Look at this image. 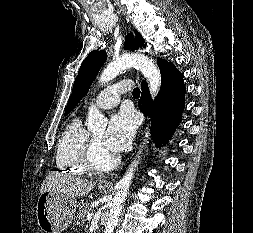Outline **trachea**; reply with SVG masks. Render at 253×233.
Listing matches in <instances>:
<instances>
[{"mask_svg":"<svg viewBox=\"0 0 253 233\" xmlns=\"http://www.w3.org/2000/svg\"><path fill=\"white\" fill-rule=\"evenodd\" d=\"M132 94H133V96H139L140 95V89L139 88H134Z\"/></svg>","mask_w":253,"mask_h":233,"instance_id":"3493384b","label":"trachea"}]
</instances>
